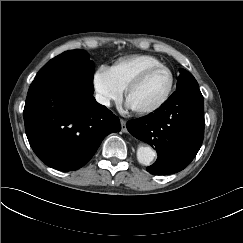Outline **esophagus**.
<instances>
[{
  "label": "esophagus",
  "mask_w": 243,
  "mask_h": 243,
  "mask_svg": "<svg viewBox=\"0 0 243 243\" xmlns=\"http://www.w3.org/2000/svg\"><path fill=\"white\" fill-rule=\"evenodd\" d=\"M120 123H121L122 132L126 133L127 132L126 121L121 119Z\"/></svg>",
  "instance_id": "esophagus-1"
}]
</instances>
